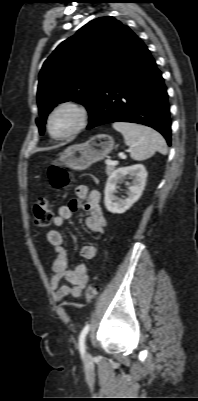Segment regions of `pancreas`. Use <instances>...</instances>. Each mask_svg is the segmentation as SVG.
<instances>
[{"instance_id":"cf45deb5","label":"pancreas","mask_w":198,"mask_h":401,"mask_svg":"<svg viewBox=\"0 0 198 401\" xmlns=\"http://www.w3.org/2000/svg\"><path fill=\"white\" fill-rule=\"evenodd\" d=\"M114 169H115L114 163H110V164L106 163V174L107 175H110L114 171Z\"/></svg>"}]
</instances>
